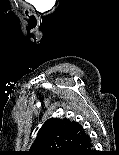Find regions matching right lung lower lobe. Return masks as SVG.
<instances>
[{"label": "right lung lower lobe", "instance_id": "obj_1", "mask_svg": "<svg viewBox=\"0 0 119 155\" xmlns=\"http://www.w3.org/2000/svg\"><path fill=\"white\" fill-rule=\"evenodd\" d=\"M62 155H93L90 137L86 134L83 138L70 145Z\"/></svg>", "mask_w": 119, "mask_h": 155}]
</instances>
